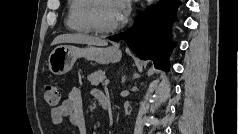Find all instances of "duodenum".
Masks as SVG:
<instances>
[{"mask_svg":"<svg viewBox=\"0 0 239 134\" xmlns=\"http://www.w3.org/2000/svg\"><path fill=\"white\" fill-rule=\"evenodd\" d=\"M100 103L102 105V107L105 109V110H108L109 107H110V100L109 98L105 95V94H102L101 97H100Z\"/></svg>","mask_w":239,"mask_h":134,"instance_id":"1","label":"duodenum"}]
</instances>
